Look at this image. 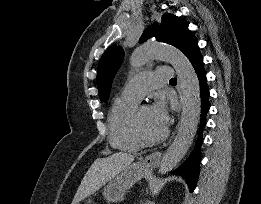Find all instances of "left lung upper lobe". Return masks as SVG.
<instances>
[{"label":"left lung upper lobe","instance_id":"obj_1","mask_svg":"<svg viewBox=\"0 0 261 204\" xmlns=\"http://www.w3.org/2000/svg\"><path fill=\"white\" fill-rule=\"evenodd\" d=\"M153 36L157 41L168 43L183 52L194 34L190 32L188 23L183 18L165 13L160 27L156 23L146 28L139 42H145ZM123 57L124 51L117 45L110 46L101 57L97 70V87L101 101L109 98L112 80L121 66Z\"/></svg>","mask_w":261,"mask_h":204}]
</instances>
